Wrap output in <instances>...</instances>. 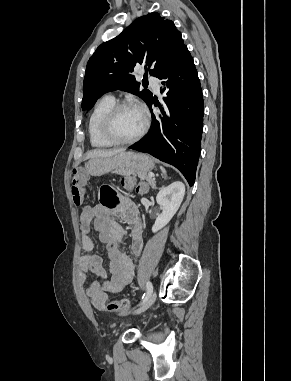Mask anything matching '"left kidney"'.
Segmentation results:
<instances>
[{
  "mask_svg": "<svg viewBox=\"0 0 291 381\" xmlns=\"http://www.w3.org/2000/svg\"><path fill=\"white\" fill-rule=\"evenodd\" d=\"M185 195V185L181 181H175L161 189L156 196L157 203L162 208L152 227V232H157L166 226L179 209Z\"/></svg>",
  "mask_w": 291,
  "mask_h": 381,
  "instance_id": "left-kidney-1",
  "label": "left kidney"
}]
</instances>
